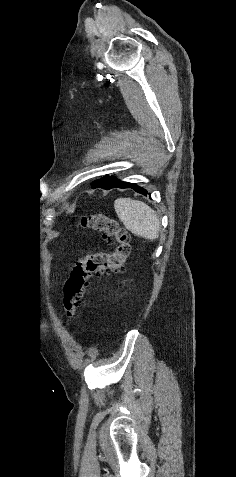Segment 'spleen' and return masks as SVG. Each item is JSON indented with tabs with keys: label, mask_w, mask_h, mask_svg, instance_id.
<instances>
[{
	"label": "spleen",
	"mask_w": 236,
	"mask_h": 477,
	"mask_svg": "<svg viewBox=\"0 0 236 477\" xmlns=\"http://www.w3.org/2000/svg\"><path fill=\"white\" fill-rule=\"evenodd\" d=\"M117 216L132 234L155 240L159 237L160 221L156 212L139 200L118 198L114 202Z\"/></svg>",
	"instance_id": "spleen-1"
}]
</instances>
